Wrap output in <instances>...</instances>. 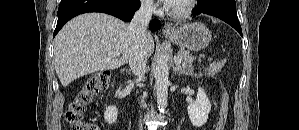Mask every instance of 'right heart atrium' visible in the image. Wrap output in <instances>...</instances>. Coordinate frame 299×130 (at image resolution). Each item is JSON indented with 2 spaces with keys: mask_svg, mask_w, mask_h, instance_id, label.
<instances>
[{
  "mask_svg": "<svg viewBox=\"0 0 299 130\" xmlns=\"http://www.w3.org/2000/svg\"><path fill=\"white\" fill-rule=\"evenodd\" d=\"M142 7L144 10L148 11V12H153L156 9V5L154 4L153 1H143L142 2Z\"/></svg>",
  "mask_w": 299,
  "mask_h": 130,
  "instance_id": "right-heart-atrium-1",
  "label": "right heart atrium"
}]
</instances>
